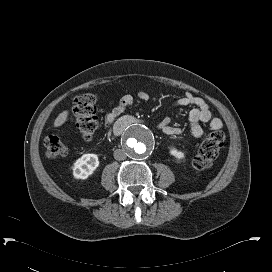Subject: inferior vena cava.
Segmentation results:
<instances>
[{
  "label": "inferior vena cava",
  "mask_w": 272,
  "mask_h": 272,
  "mask_svg": "<svg viewBox=\"0 0 272 272\" xmlns=\"http://www.w3.org/2000/svg\"><path fill=\"white\" fill-rule=\"evenodd\" d=\"M114 158L116 160H119V161L126 159V153H125V151L122 150V149H116L114 151Z\"/></svg>",
  "instance_id": "602c4592"
}]
</instances>
